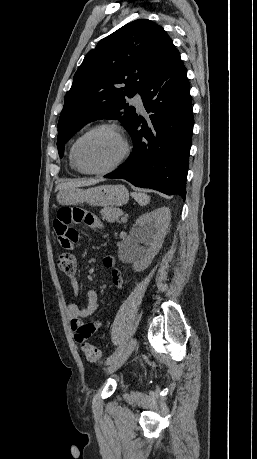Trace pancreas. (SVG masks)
Instances as JSON below:
<instances>
[{
  "instance_id": "pancreas-1",
  "label": "pancreas",
  "mask_w": 257,
  "mask_h": 459,
  "mask_svg": "<svg viewBox=\"0 0 257 459\" xmlns=\"http://www.w3.org/2000/svg\"><path fill=\"white\" fill-rule=\"evenodd\" d=\"M122 211L115 207H105L100 210V214L103 220L108 222H120L119 218L122 215Z\"/></svg>"
}]
</instances>
